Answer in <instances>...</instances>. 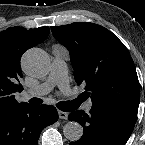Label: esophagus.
<instances>
[{
  "mask_svg": "<svg viewBox=\"0 0 145 145\" xmlns=\"http://www.w3.org/2000/svg\"><path fill=\"white\" fill-rule=\"evenodd\" d=\"M58 115L60 119L66 120L68 118V113L63 112V111H58Z\"/></svg>",
  "mask_w": 145,
  "mask_h": 145,
  "instance_id": "obj_1",
  "label": "esophagus"
}]
</instances>
